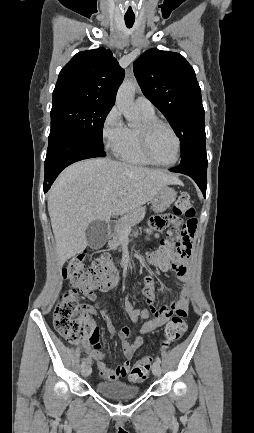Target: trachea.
Segmentation results:
<instances>
[{
    "instance_id": "1",
    "label": "trachea",
    "mask_w": 254,
    "mask_h": 433,
    "mask_svg": "<svg viewBox=\"0 0 254 433\" xmlns=\"http://www.w3.org/2000/svg\"><path fill=\"white\" fill-rule=\"evenodd\" d=\"M135 18H125V24L128 28H131L134 24Z\"/></svg>"
}]
</instances>
